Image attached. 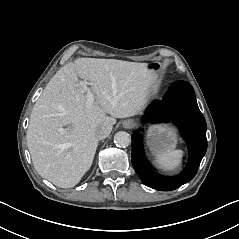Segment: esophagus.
<instances>
[{
	"label": "esophagus",
	"mask_w": 239,
	"mask_h": 239,
	"mask_svg": "<svg viewBox=\"0 0 239 239\" xmlns=\"http://www.w3.org/2000/svg\"><path fill=\"white\" fill-rule=\"evenodd\" d=\"M122 125L126 129H132L136 127L137 123L133 119H126L123 121Z\"/></svg>",
	"instance_id": "1"
}]
</instances>
